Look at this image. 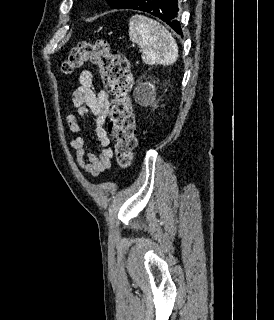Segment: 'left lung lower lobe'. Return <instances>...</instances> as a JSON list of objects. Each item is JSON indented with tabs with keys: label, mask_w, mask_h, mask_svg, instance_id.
I'll list each match as a JSON object with an SVG mask.
<instances>
[{
	"label": "left lung lower lobe",
	"mask_w": 274,
	"mask_h": 320,
	"mask_svg": "<svg viewBox=\"0 0 274 320\" xmlns=\"http://www.w3.org/2000/svg\"><path fill=\"white\" fill-rule=\"evenodd\" d=\"M178 0H131L123 9L148 12L166 22L177 33H182L178 18Z\"/></svg>",
	"instance_id": "left-lung-lower-lobe-1"
}]
</instances>
